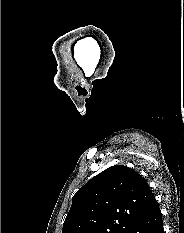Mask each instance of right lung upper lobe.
Segmentation results:
<instances>
[{
	"label": "right lung upper lobe",
	"mask_w": 184,
	"mask_h": 233,
	"mask_svg": "<svg viewBox=\"0 0 184 233\" xmlns=\"http://www.w3.org/2000/svg\"><path fill=\"white\" fill-rule=\"evenodd\" d=\"M156 204L139 173L124 165L111 166L73 196L62 233H126Z\"/></svg>",
	"instance_id": "obj_1"
}]
</instances>
